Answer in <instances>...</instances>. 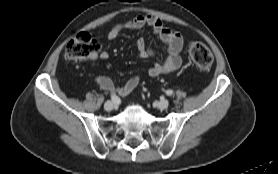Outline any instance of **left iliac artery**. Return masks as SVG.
<instances>
[{
	"mask_svg": "<svg viewBox=\"0 0 278 174\" xmlns=\"http://www.w3.org/2000/svg\"><path fill=\"white\" fill-rule=\"evenodd\" d=\"M166 94H167L168 96H171V95L173 94V91L169 89V90L166 91Z\"/></svg>",
	"mask_w": 278,
	"mask_h": 174,
	"instance_id": "left-iliac-artery-1",
	"label": "left iliac artery"
}]
</instances>
